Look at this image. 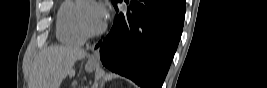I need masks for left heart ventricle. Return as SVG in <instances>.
<instances>
[{"mask_svg": "<svg viewBox=\"0 0 267 88\" xmlns=\"http://www.w3.org/2000/svg\"><path fill=\"white\" fill-rule=\"evenodd\" d=\"M82 16L86 25L91 29H98L102 24H99L94 19V5L92 3H85L82 5Z\"/></svg>", "mask_w": 267, "mask_h": 88, "instance_id": "b2bd125f", "label": "left heart ventricle"}]
</instances>
